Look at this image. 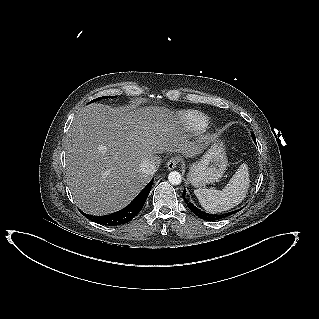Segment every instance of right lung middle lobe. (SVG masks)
Wrapping results in <instances>:
<instances>
[{"label": "right lung middle lobe", "instance_id": "obj_1", "mask_svg": "<svg viewBox=\"0 0 319 319\" xmlns=\"http://www.w3.org/2000/svg\"><path fill=\"white\" fill-rule=\"evenodd\" d=\"M101 98H107V97H99V98H97V100H99V99H101ZM94 101H96V99L92 100L90 103H92V102H94Z\"/></svg>", "mask_w": 319, "mask_h": 319}]
</instances>
